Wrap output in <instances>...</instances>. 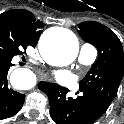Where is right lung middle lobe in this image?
Returning <instances> with one entry per match:
<instances>
[{"label": "right lung middle lobe", "mask_w": 124, "mask_h": 124, "mask_svg": "<svg viewBox=\"0 0 124 124\" xmlns=\"http://www.w3.org/2000/svg\"><path fill=\"white\" fill-rule=\"evenodd\" d=\"M28 46H31L30 42L17 27L0 19V57L12 59L23 54Z\"/></svg>", "instance_id": "obj_1"}]
</instances>
